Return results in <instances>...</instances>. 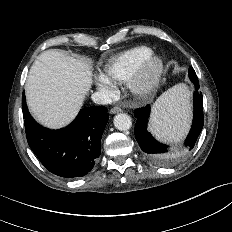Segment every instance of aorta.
Segmentation results:
<instances>
[{"mask_svg": "<svg viewBox=\"0 0 232 232\" xmlns=\"http://www.w3.org/2000/svg\"><path fill=\"white\" fill-rule=\"evenodd\" d=\"M114 126L121 131L129 130L132 126L131 117L125 113H119L114 117Z\"/></svg>", "mask_w": 232, "mask_h": 232, "instance_id": "obj_1", "label": "aorta"}]
</instances>
